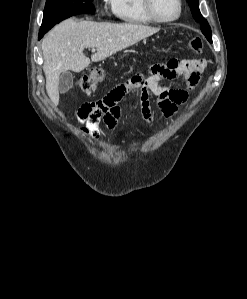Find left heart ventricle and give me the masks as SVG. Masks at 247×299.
Wrapping results in <instances>:
<instances>
[{"label":"left heart ventricle","mask_w":247,"mask_h":299,"mask_svg":"<svg viewBox=\"0 0 247 299\" xmlns=\"http://www.w3.org/2000/svg\"><path fill=\"white\" fill-rule=\"evenodd\" d=\"M156 14L164 19L174 17L177 13V0H153Z\"/></svg>","instance_id":"1"}]
</instances>
